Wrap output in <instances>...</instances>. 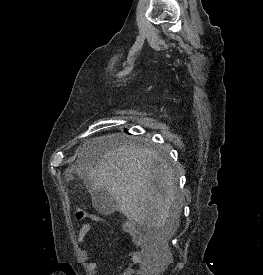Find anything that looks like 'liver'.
<instances>
[{
  "label": "liver",
  "mask_w": 263,
  "mask_h": 275,
  "mask_svg": "<svg viewBox=\"0 0 263 275\" xmlns=\"http://www.w3.org/2000/svg\"><path fill=\"white\" fill-rule=\"evenodd\" d=\"M109 139L87 141L81 157L110 144ZM76 170L89 181L90 191L105 188L120 212L140 226H174L179 221L172 168L154 150L124 144L107 149L93 166L79 161Z\"/></svg>",
  "instance_id": "liver-1"
}]
</instances>
